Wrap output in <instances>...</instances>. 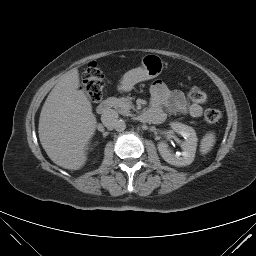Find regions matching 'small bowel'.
<instances>
[{
    "instance_id": "small-bowel-1",
    "label": "small bowel",
    "mask_w": 256,
    "mask_h": 256,
    "mask_svg": "<svg viewBox=\"0 0 256 256\" xmlns=\"http://www.w3.org/2000/svg\"><path fill=\"white\" fill-rule=\"evenodd\" d=\"M151 106L148 110L150 121L160 123L165 119L164 109L174 114L190 115L198 118L203 115V108L187 100L178 90L169 89L161 81H155L150 87Z\"/></svg>"
}]
</instances>
